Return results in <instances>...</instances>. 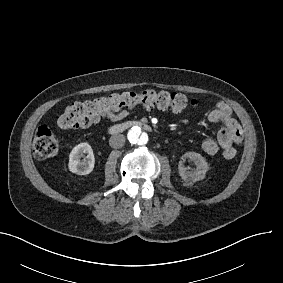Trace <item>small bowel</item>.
Here are the masks:
<instances>
[{"label": "small bowel", "mask_w": 283, "mask_h": 283, "mask_svg": "<svg viewBox=\"0 0 283 283\" xmlns=\"http://www.w3.org/2000/svg\"><path fill=\"white\" fill-rule=\"evenodd\" d=\"M128 115V110L108 112L104 116L106 119L117 122ZM210 123H221L223 127L217 133V139L222 145V156L226 160L235 158L237 151L235 146L243 141V133L240 124L232 115V110L223 101L216 102L207 115Z\"/></svg>", "instance_id": "obj_1"}]
</instances>
